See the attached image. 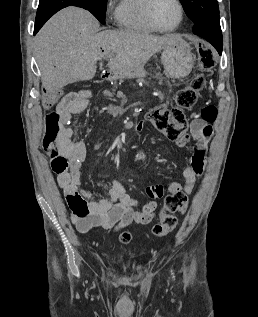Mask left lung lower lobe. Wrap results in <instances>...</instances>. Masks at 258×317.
<instances>
[{
  "label": "left lung lower lobe",
  "mask_w": 258,
  "mask_h": 317,
  "mask_svg": "<svg viewBox=\"0 0 258 317\" xmlns=\"http://www.w3.org/2000/svg\"><path fill=\"white\" fill-rule=\"evenodd\" d=\"M193 32L210 42L221 55L223 47L221 28L201 26L193 28Z\"/></svg>",
  "instance_id": "0a47b994"
}]
</instances>
